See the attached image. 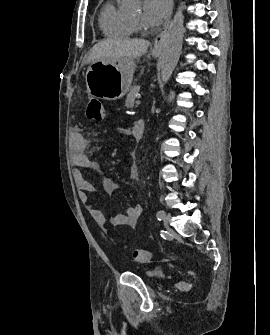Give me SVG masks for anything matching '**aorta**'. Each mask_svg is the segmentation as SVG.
Returning a JSON list of instances; mask_svg holds the SVG:
<instances>
[{"mask_svg":"<svg viewBox=\"0 0 270 335\" xmlns=\"http://www.w3.org/2000/svg\"><path fill=\"white\" fill-rule=\"evenodd\" d=\"M183 10V6L182 8L181 6L178 8V12H176L173 20H171L166 34L161 62V82H159L160 88H163L164 84H166L169 78H171V74L174 72V68H176L177 62L180 58L184 34Z\"/></svg>","mask_w":270,"mask_h":335,"instance_id":"aorta-1","label":"aorta"}]
</instances>
